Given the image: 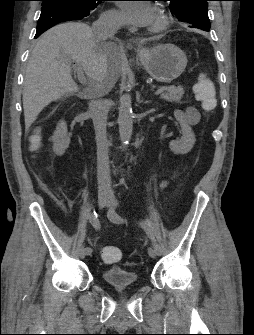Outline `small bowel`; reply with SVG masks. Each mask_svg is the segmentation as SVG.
Wrapping results in <instances>:
<instances>
[{"label":"small bowel","mask_w":254,"mask_h":335,"mask_svg":"<svg viewBox=\"0 0 254 335\" xmlns=\"http://www.w3.org/2000/svg\"><path fill=\"white\" fill-rule=\"evenodd\" d=\"M32 152H34V151H32ZM37 152L39 153V151H37ZM162 185H166V182H163Z\"/></svg>","instance_id":"obj_1"}]
</instances>
